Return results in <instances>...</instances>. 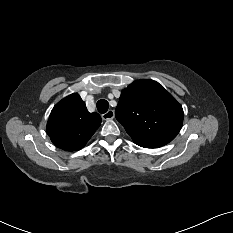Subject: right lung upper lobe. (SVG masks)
<instances>
[{
  "label": "right lung upper lobe",
  "instance_id": "cb5924a9",
  "mask_svg": "<svg viewBox=\"0 0 233 233\" xmlns=\"http://www.w3.org/2000/svg\"><path fill=\"white\" fill-rule=\"evenodd\" d=\"M100 124V115L89 113L81 97L73 93L52 109L47 122V133L57 147L75 151L85 146Z\"/></svg>",
  "mask_w": 233,
  "mask_h": 233
}]
</instances>
